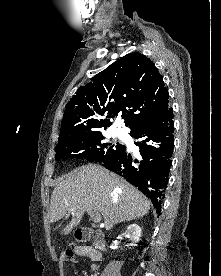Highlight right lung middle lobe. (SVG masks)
Segmentation results:
<instances>
[{"mask_svg":"<svg viewBox=\"0 0 221 276\" xmlns=\"http://www.w3.org/2000/svg\"><path fill=\"white\" fill-rule=\"evenodd\" d=\"M125 146L104 143L101 132L59 142L56 146L55 159L65 160L70 157L86 158L89 161L104 163L123 152Z\"/></svg>","mask_w":221,"mask_h":276,"instance_id":"1","label":"right lung middle lobe"}]
</instances>
